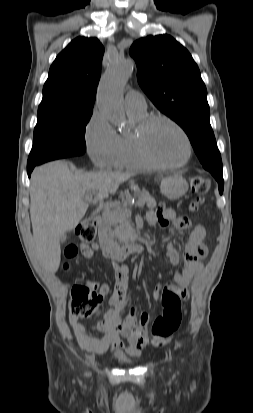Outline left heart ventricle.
I'll return each mask as SVG.
<instances>
[{"label":"left heart ventricle","mask_w":253,"mask_h":413,"mask_svg":"<svg viewBox=\"0 0 253 413\" xmlns=\"http://www.w3.org/2000/svg\"><path fill=\"white\" fill-rule=\"evenodd\" d=\"M147 145L151 154L163 163H178L186 155L182 135L166 122H157L151 127L147 135Z\"/></svg>","instance_id":"left-heart-ventricle-1"}]
</instances>
